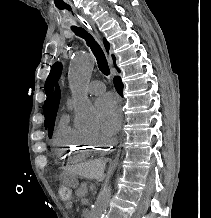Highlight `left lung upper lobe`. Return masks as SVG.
<instances>
[{"label": "left lung upper lobe", "instance_id": "left-lung-upper-lobe-1", "mask_svg": "<svg viewBox=\"0 0 211 218\" xmlns=\"http://www.w3.org/2000/svg\"><path fill=\"white\" fill-rule=\"evenodd\" d=\"M61 70H62V65L59 62H56L50 71V74L46 80L45 83V92L47 95V99L44 102V115H45V123L44 125L47 126L48 121L50 119V114H51V102H52V91H53V85L55 83V81H57L60 77L61 74Z\"/></svg>", "mask_w": 211, "mask_h": 218}]
</instances>
